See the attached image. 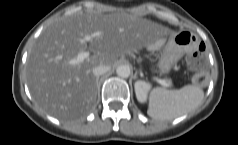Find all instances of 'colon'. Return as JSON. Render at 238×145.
<instances>
[{
    "instance_id": "colon-1",
    "label": "colon",
    "mask_w": 238,
    "mask_h": 145,
    "mask_svg": "<svg viewBox=\"0 0 238 145\" xmlns=\"http://www.w3.org/2000/svg\"><path fill=\"white\" fill-rule=\"evenodd\" d=\"M189 66L197 71L194 82L197 85H204L206 78V49L204 44H200L198 50L189 58Z\"/></svg>"
}]
</instances>
